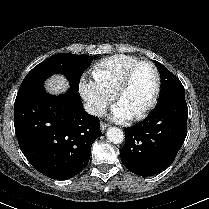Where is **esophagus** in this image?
<instances>
[{"label":"esophagus","instance_id":"obj_1","mask_svg":"<svg viewBox=\"0 0 209 209\" xmlns=\"http://www.w3.org/2000/svg\"><path fill=\"white\" fill-rule=\"evenodd\" d=\"M107 127H108V125L106 123L101 122L100 128H101L102 132H104L107 129Z\"/></svg>","mask_w":209,"mask_h":209}]
</instances>
